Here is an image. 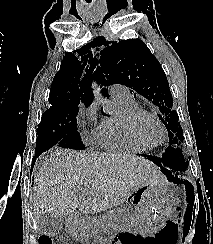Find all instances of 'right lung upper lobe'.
<instances>
[{
	"label": "right lung upper lobe",
	"instance_id": "obj_1",
	"mask_svg": "<svg viewBox=\"0 0 213 244\" xmlns=\"http://www.w3.org/2000/svg\"><path fill=\"white\" fill-rule=\"evenodd\" d=\"M95 60L83 57L79 60L73 53H66L55 75L49 96L51 105H79L91 104L93 93L91 91L92 72Z\"/></svg>",
	"mask_w": 213,
	"mask_h": 244
}]
</instances>
